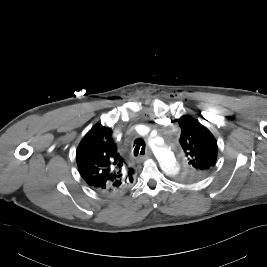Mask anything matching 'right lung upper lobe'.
Returning a JSON list of instances; mask_svg holds the SVG:
<instances>
[{
    "instance_id": "1",
    "label": "right lung upper lobe",
    "mask_w": 267,
    "mask_h": 267,
    "mask_svg": "<svg viewBox=\"0 0 267 267\" xmlns=\"http://www.w3.org/2000/svg\"><path fill=\"white\" fill-rule=\"evenodd\" d=\"M112 131L96 124L82 139L76 161L85 182L105 194H120L130 188L134 170L119 155L112 140Z\"/></svg>"
}]
</instances>
